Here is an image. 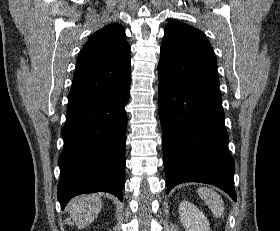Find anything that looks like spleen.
<instances>
[{
    "mask_svg": "<svg viewBox=\"0 0 280 231\" xmlns=\"http://www.w3.org/2000/svg\"><path fill=\"white\" fill-rule=\"evenodd\" d=\"M200 197H203L205 203L210 207L215 217H221L224 213V201L221 199L219 193L209 187H198Z\"/></svg>",
    "mask_w": 280,
    "mask_h": 231,
    "instance_id": "spleen-1",
    "label": "spleen"
}]
</instances>
